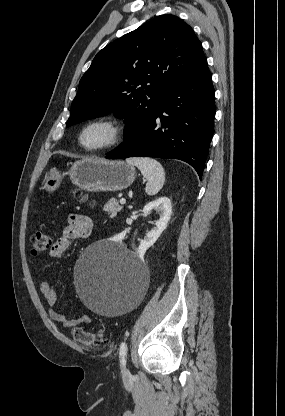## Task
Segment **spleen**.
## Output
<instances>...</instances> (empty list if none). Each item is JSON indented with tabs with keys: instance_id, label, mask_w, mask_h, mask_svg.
I'll list each match as a JSON object with an SVG mask.
<instances>
[{
	"instance_id": "3e777b00",
	"label": "spleen",
	"mask_w": 285,
	"mask_h": 416,
	"mask_svg": "<svg viewBox=\"0 0 285 416\" xmlns=\"http://www.w3.org/2000/svg\"><path fill=\"white\" fill-rule=\"evenodd\" d=\"M127 164L139 168L142 176L146 178L147 196H155L160 192L165 182V172L161 164L152 158H127Z\"/></svg>"
}]
</instances>
